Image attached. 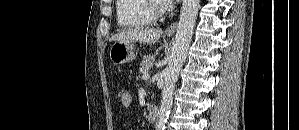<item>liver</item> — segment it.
I'll return each mask as SVG.
<instances>
[{
	"label": "liver",
	"instance_id": "1",
	"mask_svg": "<svg viewBox=\"0 0 299 130\" xmlns=\"http://www.w3.org/2000/svg\"><path fill=\"white\" fill-rule=\"evenodd\" d=\"M163 31L154 28H136L129 29L111 37V41L117 42H143L146 44H154L159 40Z\"/></svg>",
	"mask_w": 299,
	"mask_h": 130
}]
</instances>
